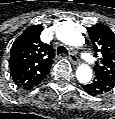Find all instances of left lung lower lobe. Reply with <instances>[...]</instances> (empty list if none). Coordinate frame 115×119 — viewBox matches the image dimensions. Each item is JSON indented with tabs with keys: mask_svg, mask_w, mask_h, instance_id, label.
I'll use <instances>...</instances> for the list:
<instances>
[{
	"mask_svg": "<svg viewBox=\"0 0 115 119\" xmlns=\"http://www.w3.org/2000/svg\"><path fill=\"white\" fill-rule=\"evenodd\" d=\"M115 86V82L109 78L95 73V78L91 83L82 85L85 92L90 95H103L109 93Z\"/></svg>",
	"mask_w": 115,
	"mask_h": 119,
	"instance_id": "0a47b994",
	"label": "left lung lower lobe"
}]
</instances>
